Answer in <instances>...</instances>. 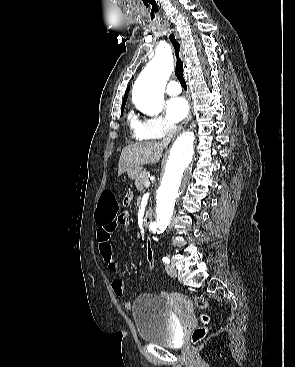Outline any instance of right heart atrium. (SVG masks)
<instances>
[{"mask_svg": "<svg viewBox=\"0 0 295 367\" xmlns=\"http://www.w3.org/2000/svg\"><path fill=\"white\" fill-rule=\"evenodd\" d=\"M135 133L145 139H159L173 134L176 127L164 116L157 114L143 120H138Z\"/></svg>", "mask_w": 295, "mask_h": 367, "instance_id": "d8ad5b80", "label": "right heart atrium"}]
</instances>
